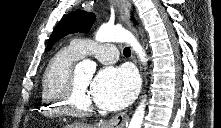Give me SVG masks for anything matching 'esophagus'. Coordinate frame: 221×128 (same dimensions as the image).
Here are the masks:
<instances>
[{
	"label": "esophagus",
	"mask_w": 221,
	"mask_h": 128,
	"mask_svg": "<svg viewBox=\"0 0 221 128\" xmlns=\"http://www.w3.org/2000/svg\"><path fill=\"white\" fill-rule=\"evenodd\" d=\"M118 6L121 11L122 18L128 23L130 18V9H129V2L127 0H118ZM133 33L136 37H138V33L133 30ZM133 59L135 62H137V59L135 56H133ZM129 121V116L124 113L120 112L117 113L112 119L105 122H98L96 123L97 128H124Z\"/></svg>",
	"instance_id": "esophagus-1"
}]
</instances>
